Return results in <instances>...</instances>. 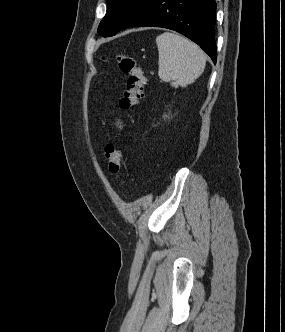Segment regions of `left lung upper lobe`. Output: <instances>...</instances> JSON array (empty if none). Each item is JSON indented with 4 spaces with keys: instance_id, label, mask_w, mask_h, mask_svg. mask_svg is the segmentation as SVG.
<instances>
[{
    "instance_id": "1",
    "label": "left lung upper lobe",
    "mask_w": 285,
    "mask_h": 332,
    "mask_svg": "<svg viewBox=\"0 0 285 332\" xmlns=\"http://www.w3.org/2000/svg\"><path fill=\"white\" fill-rule=\"evenodd\" d=\"M153 0H107V12L99 24L98 33L114 36L133 23Z\"/></svg>"
}]
</instances>
